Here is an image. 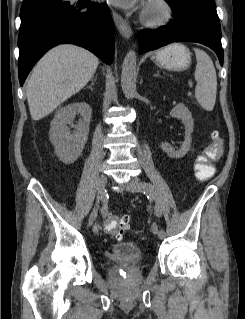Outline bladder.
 <instances>
[{
	"mask_svg": "<svg viewBox=\"0 0 245 319\" xmlns=\"http://www.w3.org/2000/svg\"><path fill=\"white\" fill-rule=\"evenodd\" d=\"M142 248L133 242L123 241L113 245L109 260L114 263L137 264L142 260Z\"/></svg>",
	"mask_w": 245,
	"mask_h": 319,
	"instance_id": "obj_1",
	"label": "bladder"
}]
</instances>
